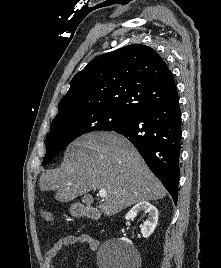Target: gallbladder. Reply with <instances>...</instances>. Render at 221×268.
Instances as JSON below:
<instances>
[{
    "mask_svg": "<svg viewBox=\"0 0 221 268\" xmlns=\"http://www.w3.org/2000/svg\"><path fill=\"white\" fill-rule=\"evenodd\" d=\"M89 201H90V199L87 198L85 202L88 203Z\"/></svg>",
    "mask_w": 221,
    "mask_h": 268,
    "instance_id": "1",
    "label": "gallbladder"
}]
</instances>
